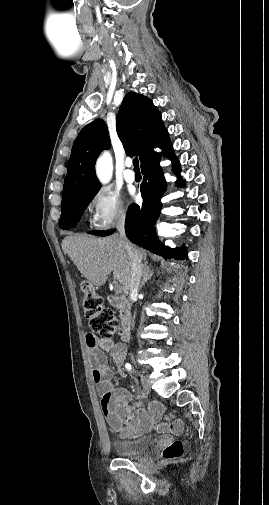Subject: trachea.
Instances as JSON below:
<instances>
[{
    "label": "trachea",
    "mask_w": 269,
    "mask_h": 505,
    "mask_svg": "<svg viewBox=\"0 0 269 505\" xmlns=\"http://www.w3.org/2000/svg\"><path fill=\"white\" fill-rule=\"evenodd\" d=\"M134 170H139V160L137 157L133 159Z\"/></svg>",
    "instance_id": "obj_1"
}]
</instances>
